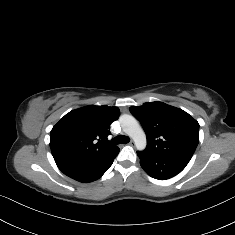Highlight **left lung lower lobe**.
<instances>
[{
	"instance_id": "obj_1",
	"label": "left lung lower lobe",
	"mask_w": 235,
	"mask_h": 235,
	"mask_svg": "<svg viewBox=\"0 0 235 235\" xmlns=\"http://www.w3.org/2000/svg\"><path fill=\"white\" fill-rule=\"evenodd\" d=\"M140 164L147 174L155 179L166 180L180 173L188 163L183 161L153 155L146 151H138Z\"/></svg>"
}]
</instances>
